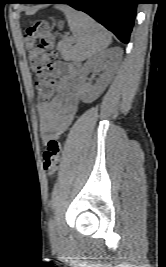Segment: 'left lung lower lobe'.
<instances>
[{
	"label": "left lung lower lobe",
	"mask_w": 166,
	"mask_h": 267,
	"mask_svg": "<svg viewBox=\"0 0 166 267\" xmlns=\"http://www.w3.org/2000/svg\"><path fill=\"white\" fill-rule=\"evenodd\" d=\"M20 3H64L81 10L108 30L117 38L129 42L133 28L138 0H23Z\"/></svg>",
	"instance_id": "left-lung-lower-lobe-1"
}]
</instances>
